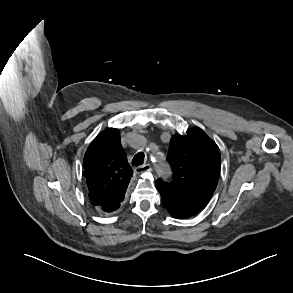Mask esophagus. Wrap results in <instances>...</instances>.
I'll list each match as a JSON object with an SVG mask.
<instances>
[{"label":"esophagus","instance_id":"1","mask_svg":"<svg viewBox=\"0 0 293 293\" xmlns=\"http://www.w3.org/2000/svg\"><path fill=\"white\" fill-rule=\"evenodd\" d=\"M151 170H152V168H151L150 164H145V165L137 167L135 169V173L141 174V173H144V172H149Z\"/></svg>","mask_w":293,"mask_h":293}]
</instances>
